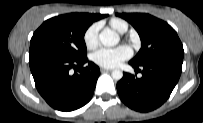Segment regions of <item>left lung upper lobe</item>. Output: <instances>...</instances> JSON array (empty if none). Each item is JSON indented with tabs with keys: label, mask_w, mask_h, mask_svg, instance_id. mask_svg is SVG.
Segmentation results:
<instances>
[{
	"label": "left lung upper lobe",
	"mask_w": 203,
	"mask_h": 123,
	"mask_svg": "<svg viewBox=\"0 0 203 123\" xmlns=\"http://www.w3.org/2000/svg\"><path fill=\"white\" fill-rule=\"evenodd\" d=\"M116 15L131 23L141 39V49L131 63L141 65L161 59L183 60V45L176 31L168 23L145 13Z\"/></svg>",
	"instance_id": "left-lung-upper-lobe-1"
}]
</instances>
